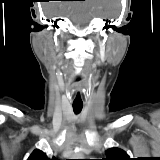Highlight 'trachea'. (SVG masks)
<instances>
[{
    "mask_svg": "<svg viewBox=\"0 0 160 160\" xmlns=\"http://www.w3.org/2000/svg\"><path fill=\"white\" fill-rule=\"evenodd\" d=\"M83 108V105H73V111L75 114H79Z\"/></svg>",
    "mask_w": 160,
    "mask_h": 160,
    "instance_id": "obj_1",
    "label": "trachea"
}]
</instances>
